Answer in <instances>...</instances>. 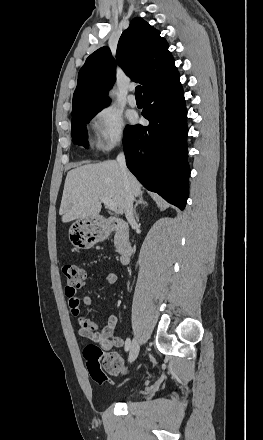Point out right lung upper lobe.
Here are the masks:
<instances>
[{
    "label": "right lung upper lobe",
    "instance_id": "right-lung-upper-lobe-1",
    "mask_svg": "<svg viewBox=\"0 0 263 440\" xmlns=\"http://www.w3.org/2000/svg\"><path fill=\"white\" fill-rule=\"evenodd\" d=\"M160 32L141 18L130 23L118 42L116 59L132 80L143 85V93L171 76L177 68ZM116 79V64L108 47L92 53L78 74L73 95L72 118L102 110L109 103L107 91Z\"/></svg>",
    "mask_w": 263,
    "mask_h": 440
}]
</instances>
